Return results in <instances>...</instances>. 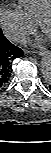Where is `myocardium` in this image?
Listing matches in <instances>:
<instances>
[{
  "label": "myocardium",
  "mask_w": 51,
  "mask_h": 153,
  "mask_svg": "<svg viewBox=\"0 0 51 153\" xmlns=\"http://www.w3.org/2000/svg\"><path fill=\"white\" fill-rule=\"evenodd\" d=\"M47 20L51 21V8L46 9L37 20L38 27L41 31H44V24Z\"/></svg>",
  "instance_id": "f54148a6"
}]
</instances>
